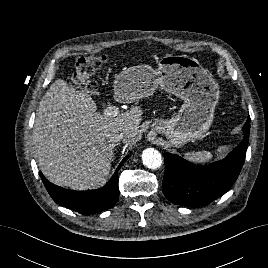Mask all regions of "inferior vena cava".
I'll use <instances>...</instances> for the list:
<instances>
[{"label":"inferior vena cava","mask_w":268,"mask_h":268,"mask_svg":"<svg viewBox=\"0 0 268 268\" xmlns=\"http://www.w3.org/2000/svg\"><path fill=\"white\" fill-rule=\"evenodd\" d=\"M106 138L112 143L119 142L120 140L125 138V133L116 129H112L106 132Z\"/></svg>","instance_id":"1"}]
</instances>
